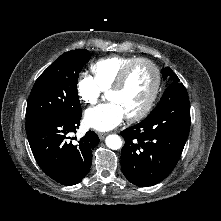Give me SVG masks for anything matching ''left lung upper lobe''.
I'll return each instance as SVG.
<instances>
[{
	"label": "left lung upper lobe",
	"mask_w": 221,
	"mask_h": 221,
	"mask_svg": "<svg viewBox=\"0 0 221 221\" xmlns=\"http://www.w3.org/2000/svg\"><path fill=\"white\" fill-rule=\"evenodd\" d=\"M162 74H163L164 79H167V77L170 78L171 84L165 90L162 98L160 99L159 104H161V102L164 100V97L166 95H169V94H172V93L173 94H182V93L187 94L184 85L179 82V78L177 77V75L170 68H163L162 69Z\"/></svg>",
	"instance_id": "obj_1"
}]
</instances>
